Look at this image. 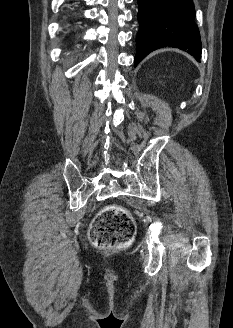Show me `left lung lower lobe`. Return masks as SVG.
<instances>
[{"mask_svg": "<svg viewBox=\"0 0 233 328\" xmlns=\"http://www.w3.org/2000/svg\"><path fill=\"white\" fill-rule=\"evenodd\" d=\"M140 24L136 39L135 66L150 52L162 47L187 51L201 59V39L194 23L192 0H137Z\"/></svg>", "mask_w": 233, "mask_h": 328, "instance_id": "left-lung-lower-lobe-1", "label": "left lung lower lobe"}]
</instances>
